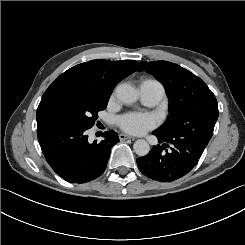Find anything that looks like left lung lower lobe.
Wrapping results in <instances>:
<instances>
[{"instance_id": "0a47b994", "label": "left lung lower lobe", "mask_w": 245, "mask_h": 245, "mask_svg": "<svg viewBox=\"0 0 245 245\" xmlns=\"http://www.w3.org/2000/svg\"><path fill=\"white\" fill-rule=\"evenodd\" d=\"M214 125L203 120L195 125V129L175 134L153 131L159 143L164 144L154 146L146 156L137 159L139 170L156 181L170 182L182 178L197 164L212 137ZM167 143L172 148L164 152L169 147Z\"/></svg>"}]
</instances>
